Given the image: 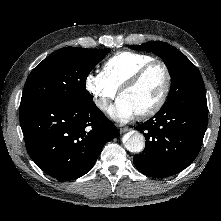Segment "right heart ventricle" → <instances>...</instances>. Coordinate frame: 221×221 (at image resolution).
I'll return each instance as SVG.
<instances>
[{
	"label": "right heart ventricle",
	"mask_w": 221,
	"mask_h": 221,
	"mask_svg": "<svg viewBox=\"0 0 221 221\" xmlns=\"http://www.w3.org/2000/svg\"><path fill=\"white\" fill-rule=\"evenodd\" d=\"M152 60V56L144 53L118 52L103 63L102 73L118 90L139 67Z\"/></svg>",
	"instance_id": "e07e8e85"
}]
</instances>
